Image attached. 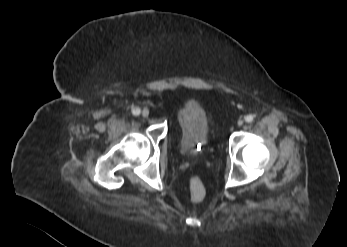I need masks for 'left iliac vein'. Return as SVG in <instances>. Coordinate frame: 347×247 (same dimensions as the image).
<instances>
[{
  "label": "left iliac vein",
  "instance_id": "left-iliac-vein-1",
  "mask_svg": "<svg viewBox=\"0 0 347 247\" xmlns=\"http://www.w3.org/2000/svg\"><path fill=\"white\" fill-rule=\"evenodd\" d=\"M243 123H244V121L243 120H238V122H237V124H238V126H242L243 125Z\"/></svg>",
  "mask_w": 347,
  "mask_h": 247
}]
</instances>
